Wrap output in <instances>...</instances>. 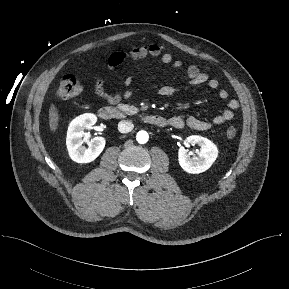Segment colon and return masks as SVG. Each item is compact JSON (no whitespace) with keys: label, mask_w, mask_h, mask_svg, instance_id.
I'll use <instances>...</instances> for the list:
<instances>
[{"label":"colon","mask_w":289,"mask_h":289,"mask_svg":"<svg viewBox=\"0 0 289 289\" xmlns=\"http://www.w3.org/2000/svg\"><path fill=\"white\" fill-rule=\"evenodd\" d=\"M82 85L79 80L71 73L65 74L59 81L56 89V96L59 99L66 100L79 96L82 93ZM237 134L235 127L230 126L226 130L228 139H233Z\"/></svg>","instance_id":"1"}]
</instances>
